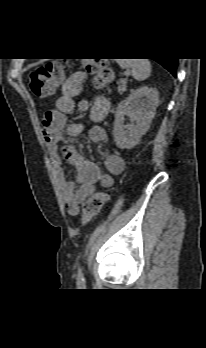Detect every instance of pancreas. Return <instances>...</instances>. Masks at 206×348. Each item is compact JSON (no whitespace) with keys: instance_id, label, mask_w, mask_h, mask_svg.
Wrapping results in <instances>:
<instances>
[{"instance_id":"cf45deb5","label":"pancreas","mask_w":206,"mask_h":348,"mask_svg":"<svg viewBox=\"0 0 206 348\" xmlns=\"http://www.w3.org/2000/svg\"><path fill=\"white\" fill-rule=\"evenodd\" d=\"M127 90L126 82L123 83L122 81L120 82L118 86V93L121 95Z\"/></svg>"}]
</instances>
